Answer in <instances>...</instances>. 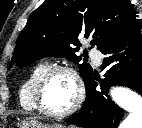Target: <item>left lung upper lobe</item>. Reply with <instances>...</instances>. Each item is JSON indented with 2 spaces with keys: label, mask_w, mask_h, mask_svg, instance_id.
<instances>
[{
  "label": "left lung upper lobe",
  "mask_w": 142,
  "mask_h": 128,
  "mask_svg": "<svg viewBox=\"0 0 142 128\" xmlns=\"http://www.w3.org/2000/svg\"><path fill=\"white\" fill-rule=\"evenodd\" d=\"M136 25L129 0H45L18 36L10 67L13 62L23 67L46 56H67L79 63L82 56L75 55L81 46L79 35L91 38V45L102 50ZM79 71L85 83L93 74L88 63L79 64Z\"/></svg>",
  "instance_id": "obj_1"
}]
</instances>
